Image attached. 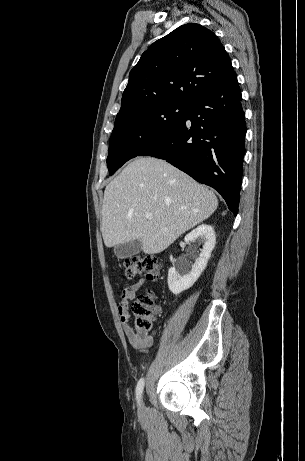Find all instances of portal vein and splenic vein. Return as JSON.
<instances>
[{
  "instance_id": "18ae733b",
  "label": "portal vein and splenic vein",
  "mask_w": 305,
  "mask_h": 461,
  "mask_svg": "<svg viewBox=\"0 0 305 461\" xmlns=\"http://www.w3.org/2000/svg\"><path fill=\"white\" fill-rule=\"evenodd\" d=\"M145 217H146L148 220H150V219L153 218V215H152V213H146V214H145Z\"/></svg>"
}]
</instances>
